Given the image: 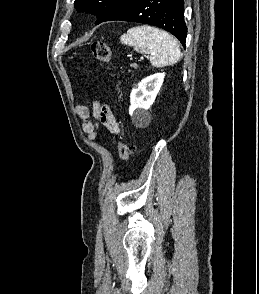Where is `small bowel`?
I'll list each match as a JSON object with an SVG mask.
<instances>
[{
  "label": "small bowel",
  "mask_w": 259,
  "mask_h": 294,
  "mask_svg": "<svg viewBox=\"0 0 259 294\" xmlns=\"http://www.w3.org/2000/svg\"><path fill=\"white\" fill-rule=\"evenodd\" d=\"M74 111L81 120L82 131L90 140L96 138L99 125L105 126L114 134L120 132L119 125L110 107L98 100L93 101L91 110L85 105L77 104ZM91 116L94 120H91Z\"/></svg>",
  "instance_id": "obj_1"
}]
</instances>
